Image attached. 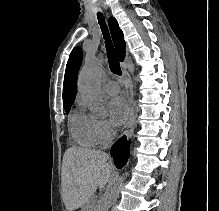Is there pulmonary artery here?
Returning a JSON list of instances; mask_svg holds the SVG:
<instances>
[{"mask_svg": "<svg viewBox=\"0 0 219 211\" xmlns=\"http://www.w3.org/2000/svg\"><path fill=\"white\" fill-rule=\"evenodd\" d=\"M104 90L109 94V95H115L119 93L120 91V85L116 81H107L104 84Z\"/></svg>", "mask_w": 219, "mask_h": 211, "instance_id": "1", "label": "pulmonary artery"}]
</instances>
